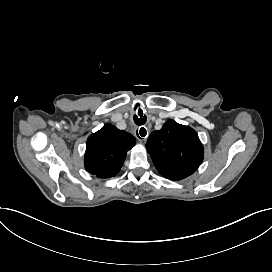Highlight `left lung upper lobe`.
<instances>
[{
    "label": "left lung upper lobe",
    "instance_id": "5c2ea615",
    "mask_svg": "<svg viewBox=\"0 0 272 272\" xmlns=\"http://www.w3.org/2000/svg\"><path fill=\"white\" fill-rule=\"evenodd\" d=\"M146 149L158 172L170 180L190 176L200 166L204 149L195 130L168 120L148 137Z\"/></svg>",
    "mask_w": 272,
    "mask_h": 272
}]
</instances>
